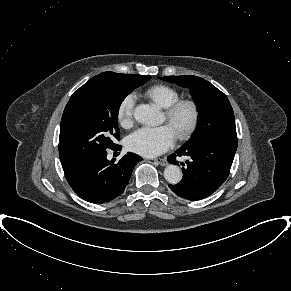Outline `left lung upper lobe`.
I'll return each mask as SVG.
<instances>
[{"mask_svg":"<svg viewBox=\"0 0 291 291\" xmlns=\"http://www.w3.org/2000/svg\"><path fill=\"white\" fill-rule=\"evenodd\" d=\"M161 79L190 88V93L198 105V127L185 145H196L215 136H237L230 102L227 96L210 82L192 75L165 76Z\"/></svg>","mask_w":291,"mask_h":291,"instance_id":"5c2ea615","label":"left lung upper lobe"}]
</instances>
